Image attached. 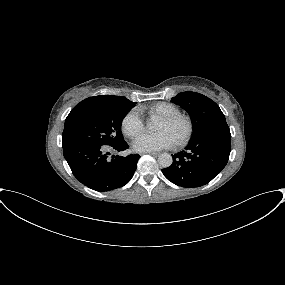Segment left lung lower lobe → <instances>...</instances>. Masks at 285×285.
<instances>
[{
  "label": "left lung lower lobe",
  "instance_id": "1",
  "mask_svg": "<svg viewBox=\"0 0 285 285\" xmlns=\"http://www.w3.org/2000/svg\"><path fill=\"white\" fill-rule=\"evenodd\" d=\"M185 149L173 155V163L162 169V173L178 186L200 187L226 166L231 151V134L203 133L192 138Z\"/></svg>",
  "mask_w": 285,
  "mask_h": 285
}]
</instances>
